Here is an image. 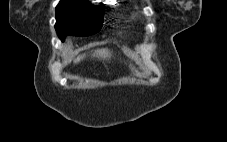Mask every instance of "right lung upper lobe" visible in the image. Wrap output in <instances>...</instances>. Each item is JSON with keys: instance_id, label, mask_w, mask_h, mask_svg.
Returning a JSON list of instances; mask_svg holds the SVG:
<instances>
[{"instance_id": "cb5924a9", "label": "right lung upper lobe", "mask_w": 227, "mask_h": 142, "mask_svg": "<svg viewBox=\"0 0 227 142\" xmlns=\"http://www.w3.org/2000/svg\"><path fill=\"white\" fill-rule=\"evenodd\" d=\"M61 1H66V0H61ZM80 1L88 2L87 0H80Z\"/></svg>"}]
</instances>
